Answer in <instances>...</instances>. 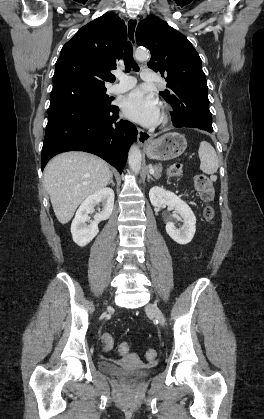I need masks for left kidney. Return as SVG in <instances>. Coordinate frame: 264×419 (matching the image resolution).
<instances>
[{
	"instance_id": "1",
	"label": "left kidney",
	"mask_w": 264,
	"mask_h": 419,
	"mask_svg": "<svg viewBox=\"0 0 264 419\" xmlns=\"http://www.w3.org/2000/svg\"><path fill=\"white\" fill-rule=\"evenodd\" d=\"M150 202L154 207L170 206L183 219V225L177 229L173 222L166 223L167 234L177 243L188 244L196 230V217L191 208L176 194L163 187L154 186L149 191Z\"/></svg>"
}]
</instances>
